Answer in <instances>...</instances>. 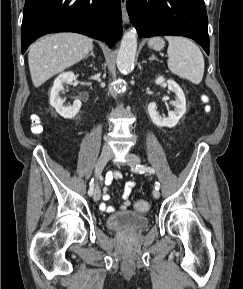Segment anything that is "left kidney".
<instances>
[{
    "label": "left kidney",
    "mask_w": 243,
    "mask_h": 289,
    "mask_svg": "<svg viewBox=\"0 0 243 289\" xmlns=\"http://www.w3.org/2000/svg\"><path fill=\"white\" fill-rule=\"evenodd\" d=\"M165 82L163 77H158L155 81L157 85L162 84ZM168 89L174 92L177 96L175 101L170 102L175 109L174 111H169L167 117H162L157 112L156 103L152 102L148 105V113L152 122L159 126V127H174L179 119L185 114L186 112V99L182 89L179 85L173 80H167Z\"/></svg>",
    "instance_id": "obj_1"
}]
</instances>
